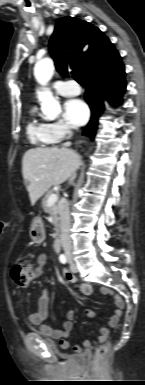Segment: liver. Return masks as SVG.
<instances>
[{
	"mask_svg": "<svg viewBox=\"0 0 145 385\" xmlns=\"http://www.w3.org/2000/svg\"><path fill=\"white\" fill-rule=\"evenodd\" d=\"M81 158L65 147L32 148L22 159V174L31 204L49 190L65 182L80 166Z\"/></svg>",
	"mask_w": 145,
	"mask_h": 385,
	"instance_id": "1",
	"label": "liver"
}]
</instances>
